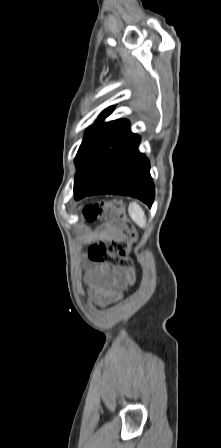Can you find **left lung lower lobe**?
<instances>
[{
	"instance_id": "left-lung-lower-lobe-1",
	"label": "left lung lower lobe",
	"mask_w": 221,
	"mask_h": 448,
	"mask_svg": "<svg viewBox=\"0 0 221 448\" xmlns=\"http://www.w3.org/2000/svg\"><path fill=\"white\" fill-rule=\"evenodd\" d=\"M139 142L140 137L134 135L93 165L79 169L74 181L75 199L94 194H120L136 197L151 207L154 184L150 163L137 150Z\"/></svg>"
}]
</instances>
